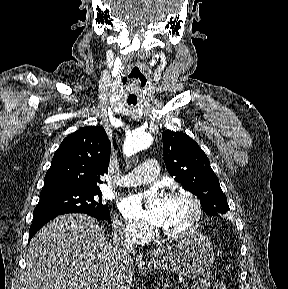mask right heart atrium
Instances as JSON below:
<instances>
[{"label": "right heart atrium", "mask_w": 288, "mask_h": 289, "mask_svg": "<svg viewBox=\"0 0 288 289\" xmlns=\"http://www.w3.org/2000/svg\"><path fill=\"white\" fill-rule=\"evenodd\" d=\"M117 232L131 242H142L147 239L149 229L128 218L116 217L114 221Z\"/></svg>", "instance_id": "obj_1"}]
</instances>
